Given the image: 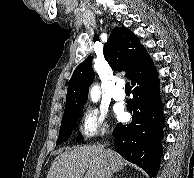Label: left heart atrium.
<instances>
[{
	"label": "left heart atrium",
	"instance_id": "1",
	"mask_svg": "<svg viewBox=\"0 0 194 178\" xmlns=\"http://www.w3.org/2000/svg\"><path fill=\"white\" fill-rule=\"evenodd\" d=\"M118 117H119L120 119H124V118H125L124 112H119V113H118Z\"/></svg>",
	"mask_w": 194,
	"mask_h": 178
}]
</instances>
